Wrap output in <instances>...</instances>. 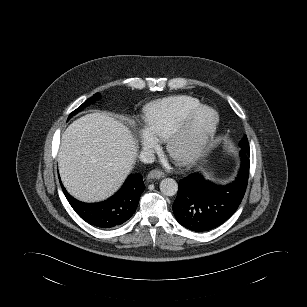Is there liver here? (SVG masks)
I'll list each match as a JSON object with an SVG mask.
<instances>
[{
    "instance_id": "obj_1",
    "label": "liver",
    "mask_w": 307,
    "mask_h": 307,
    "mask_svg": "<svg viewBox=\"0 0 307 307\" xmlns=\"http://www.w3.org/2000/svg\"><path fill=\"white\" fill-rule=\"evenodd\" d=\"M137 145L131 131L104 112L71 123L58 153L66 190L83 202H98L121 187L135 163Z\"/></svg>"
}]
</instances>
